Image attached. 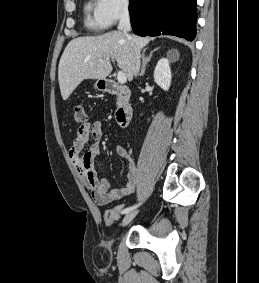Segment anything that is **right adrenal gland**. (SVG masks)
Here are the masks:
<instances>
[{
  "label": "right adrenal gland",
  "mask_w": 259,
  "mask_h": 283,
  "mask_svg": "<svg viewBox=\"0 0 259 283\" xmlns=\"http://www.w3.org/2000/svg\"><path fill=\"white\" fill-rule=\"evenodd\" d=\"M155 51H156V49L153 50V51L149 54V56H146V55H145V50L142 52V55H141V56H142V69H141L140 77L145 74L146 66H147V64L149 63V61L151 60L152 55H153V53H154Z\"/></svg>",
  "instance_id": "2a0ac1e0"
}]
</instances>
